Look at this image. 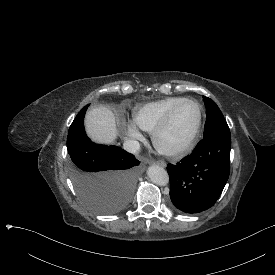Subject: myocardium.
I'll list each match as a JSON object with an SVG mask.
<instances>
[{
  "label": "myocardium",
  "instance_id": "f54148a6",
  "mask_svg": "<svg viewBox=\"0 0 275 275\" xmlns=\"http://www.w3.org/2000/svg\"><path fill=\"white\" fill-rule=\"evenodd\" d=\"M184 103H191L196 107L197 110V118L196 122L194 124L193 129L189 133V135L179 144L174 145V146H168L165 145L162 141L164 135L167 133L169 130L171 123H172V118L177 110V108L184 104ZM202 124V109L200 104L193 100V99H184L178 103H176L166 114L165 118L163 121L153 130L152 132V143L155 149L163 155L166 156H176L180 155L184 152H186L194 143L195 139L197 138L200 128Z\"/></svg>",
  "mask_w": 275,
  "mask_h": 275
}]
</instances>
